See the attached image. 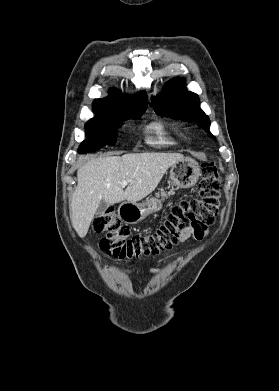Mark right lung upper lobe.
<instances>
[{"mask_svg": "<svg viewBox=\"0 0 279 391\" xmlns=\"http://www.w3.org/2000/svg\"><path fill=\"white\" fill-rule=\"evenodd\" d=\"M146 93L139 92L135 95H121L116 90H113L108 97L96 99L93 102V111L98 113L110 112H134L145 107Z\"/></svg>", "mask_w": 279, "mask_h": 391, "instance_id": "right-lung-upper-lobe-1", "label": "right lung upper lobe"}]
</instances>
